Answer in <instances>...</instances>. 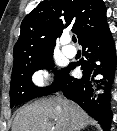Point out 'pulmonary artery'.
<instances>
[{"label":"pulmonary artery","mask_w":117,"mask_h":131,"mask_svg":"<svg viewBox=\"0 0 117 131\" xmlns=\"http://www.w3.org/2000/svg\"><path fill=\"white\" fill-rule=\"evenodd\" d=\"M69 41H70L69 38H64L62 40V52L67 57H74L76 54V49L74 47L68 45Z\"/></svg>","instance_id":"1"}]
</instances>
